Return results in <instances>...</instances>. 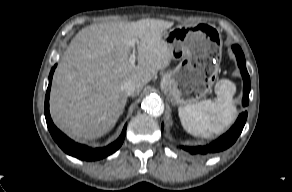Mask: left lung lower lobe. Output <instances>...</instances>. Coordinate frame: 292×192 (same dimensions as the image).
<instances>
[{
  "label": "left lung lower lobe",
  "instance_id": "0a47b994",
  "mask_svg": "<svg viewBox=\"0 0 292 192\" xmlns=\"http://www.w3.org/2000/svg\"><path fill=\"white\" fill-rule=\"evenodd\" d=\"M232 49L237 57L238 66L241 70V74L244 80L243 106H246L249 103L250 77L246 69L245 57L241 48L238 45H234L232 46ZM246 119L247 112H243L242 114L239 115L237 121L231 127V129L210 145L198 147L182 146V149L189 151L191 154L200 155H206L208 153L223 151L230 147L237 140L238 136L242 132V129L245 125Z\"/></svg>",
  "mask_w": 292,
  "mask_h": 192
}]
</instances>
